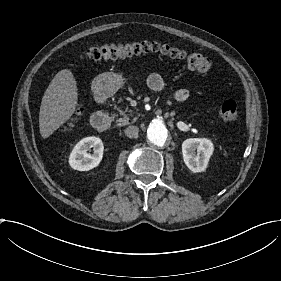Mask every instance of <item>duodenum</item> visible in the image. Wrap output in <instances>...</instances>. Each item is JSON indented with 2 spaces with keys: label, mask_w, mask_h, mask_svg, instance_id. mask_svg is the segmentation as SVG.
I'll use <instances>...</instances> for the list:
<instances>
[{
  "label": "duodenum",
  "mask_w": 281,
  "mask_h": 281,
  "mask_svg": "<svg viewBox=\"0 0 281 281\" xmlns=\"http://www.w3.org/2000/svg\"><path fill=\"white\" fill-rule=\"evenodd\" d=\"M108 95L104 90H99L95 94V100L101 104L106 101ZM92 125L100 132L109 130L111 126V117L104 111H97L91 118Z\"/></svg>",
  "instance_id": "duodenum-1"
}]
</instances>
